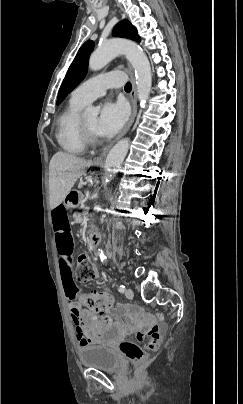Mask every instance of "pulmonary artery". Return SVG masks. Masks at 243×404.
Returning <instances> with one entry per match:
<instances>
[{"mask_svg": "<svg viewBox=\"0 0 243 404\" xmlns=\"http://www.w3.org/2000/svg\"><path fill=\"white\" fill-rule=\"evenodd\" d=\"M123 83L124 80L118 78L112 72L100 73L82 82L76 90L79 97L86 104H89L93 100L103 96L108 88L119 87Z\"/></svg>", "mask_w": 243, "mask_h": 404, "instance_id": "1", "label": "pulmonary artery"}]
</instances>
